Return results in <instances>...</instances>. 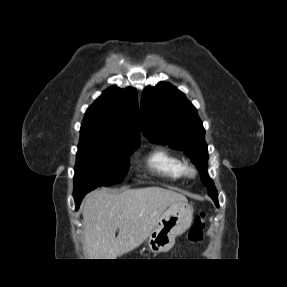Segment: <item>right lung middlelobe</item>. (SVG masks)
<instances>
[{"instance_id": "right-lung-middle-lobe-1", "label": "right lung middle lobe", "mask_w": 287, "mask_h": 287, "mask_svg": "<svg viewBox=\"0 0 287 287\" xmlns=\"http://www.w3.org/2000/svg\"><path fill=\"white\" fill-rule=\"evenodd\" d=\"M138 146L139 142L80 136L74 175V197L99 186L121 182L128 171L129 157Z\"/></svg>"}]
</instances>
